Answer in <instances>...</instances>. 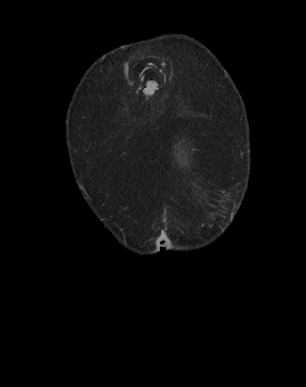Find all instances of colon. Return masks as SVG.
Listing matches in <instances>:
<instances>
[{
    "instance_id": "1",
    "label": "colon",
    "mask_w": 306,
    "mask_h": 387,
    "mask_svg": "<svg viewBox=\"0 0 306 387\" xmlns=\"http://www.w3.org/2000/svg\"><path fill=\"white\" fill-rule=\"evenodd\" d=\"M158 90H159V83L153 80L148 81L144 87V92L147 96H152L156 94Z\"/></svg>"
}]
</instances>
